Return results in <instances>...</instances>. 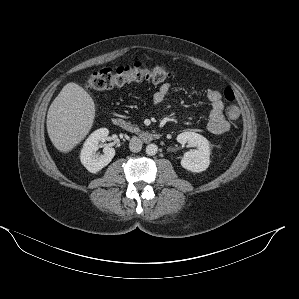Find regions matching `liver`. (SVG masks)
Instances as JSON below:
<instances>
[{"label":"liver","mask_w":299,"mask_h":299,"mask_svg":"<svg viewBox=\"0 0 299 299\" xmlns=\"http://www.w3.org/2000/svg\"><path fill=\"white\" fill-rule=\"evenodd\" d=\"M95 118L91 96L78 84H66L49 107L47 132L54 147L70 152L89 133Z\"/></svg>","instance_id":"liver-1"}]
</instances>
